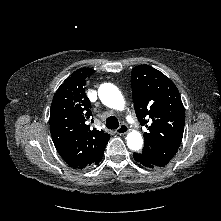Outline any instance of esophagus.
<instances>
[{
    "label": "esophagus",
    "instance_id": "obj_1",
    "mask_svg": "<svg viewBox=\"0 0 221 221\" xmlns=\"http://www.w3.org/2000/svg\"><path fill=\"white\" fill-rule=\"evenodd\" d=\"M129 131L128 127L125 124L120 125V127L116 130L117 134L124 135Z\"/></svg>",
    "mask_w": 221,
    "mask_h": 221
}]
</instances>
